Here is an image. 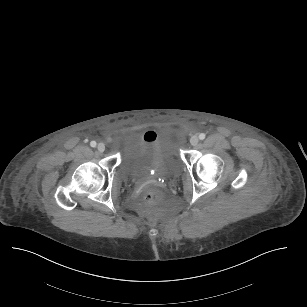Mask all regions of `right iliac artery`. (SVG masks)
Listing matches in <instances>:
<instances>
[{"instance_id": "obj_1", "label": "right iliac artery", "mask_w": 307, "mask_h": 307, "mask_svg": "<svg viewBox=\"0 0 307 307\" xmlns=\"http://www.w3.org/2000/svg\"><path fill=\"white\" fill-rule=\"evenodd\" d=\"M90 146H91V147H96V142H95V141H91V142H90Z\"/></svg>"}]
</instances>
